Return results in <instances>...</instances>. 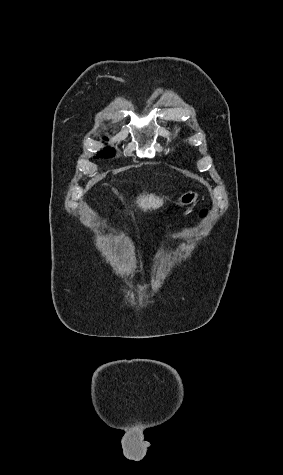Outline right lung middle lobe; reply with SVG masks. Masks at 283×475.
I'll return each mask as SVG.
<instances>
[{
	"label": "right lung middle lobe",
	"instance_id": "1",
	"mask_svg": "<svg viewBox=\"0 0 283 475\" xmlns=\"http://www.w3.org/2000/svg\"><path fill=\"white\" fill-rule=\"evenodd\" d=\"M113 154H114L113 150L109 149V150L101 151L94 158H103V157L104 158H109Z\"/></svg>",
	"mask_w": 283,
	"mask_h": 475
}]
</instances>
